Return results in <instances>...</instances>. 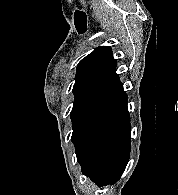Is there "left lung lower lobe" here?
Returning <instances> with one entry per match:
<instances>
[{"instance_id": "0a47b994", "label": "left lung lower lobe", "mask_w": 178, "mask_h": 195, "mask_svg": "<svg viewBox=\"0 0 178 195\" xmlns=\"http://www.w3.org/2000/svg\"><path fill=\"white\" fill-rule=\"evenodd\" d=\"M130 133L123 91L72 138L82 173L99 186L115 184L129 160Z\"/></svg>"}]
</instances>
